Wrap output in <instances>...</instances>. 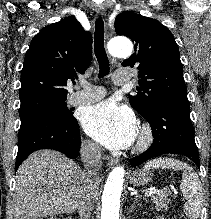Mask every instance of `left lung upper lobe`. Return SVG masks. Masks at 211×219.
Returning <instances> with one entry per match:
<instances>
[{"label":"left lung upper lobe","mask_w":211,"mask_h":219,"mask_svg":"<svg viewBox=\"0 0 211 219\" xmlns=\"http://www.w3.org/2000/svg\"><path fill=\"white\" fill-rule=\"evenodd\" d=\"M115 30L135 43L134 54L122 65L139 69L138 93L129 97L137 112L146 117L160 101L187 100L178 45L167 27L155 19L125 11L115 18Z\"/></svg>","instance_id":"5c2ea615"}]
</instances>
